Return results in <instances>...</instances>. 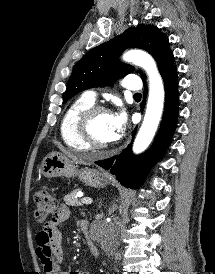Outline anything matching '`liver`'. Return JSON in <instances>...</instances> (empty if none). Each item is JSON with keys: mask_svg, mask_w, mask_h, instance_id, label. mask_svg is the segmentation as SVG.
Returning <instances> with one entry per match:
<instances>
[{"mask_svg": "<svg viewBox=\"0 0 215 274\" xmlns=\"http://www.w3.org/2000/svg\"><path fill=\"white\" fill-rule=\"evenodd\" d=\"M61 150H62V151L64 152V154H65L68 158H70L74 163H76V164H86V162L82 159V157L74 156L73 154L67 152V151L64 150V149H61Z\"/></svg>", "mask_w": 215, "mask_h": 274, "instance_id": "1", "label": "liver"}]
</instances>
